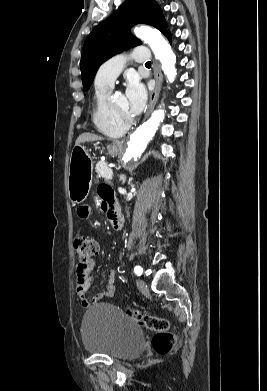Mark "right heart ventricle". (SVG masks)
Listing matches in <instances>:
<instances>
[{
  "mask_svg": "<svg viewBox=\"0 0 267 391\" xmlns=\"http://www.w3.org/2000/svg\"><path fill=\"white\" fill-rule=\"evenodd\" d=\"M109 90V87H95L92 120L99 132L108 137L117 138L125 133L127 127L117 123L109 110V104L106 100Z\"/></svg>",
  "mask_w": 267,
  "mask_h": 391,
  "instance_id": "obj_1",
  "label": "right heart ventricle"
}]
</instances>
